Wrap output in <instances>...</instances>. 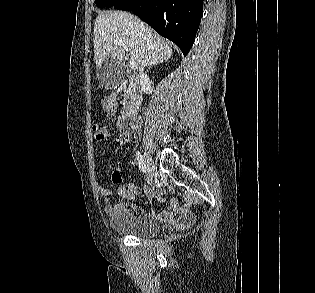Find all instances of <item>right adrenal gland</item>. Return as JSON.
<instances>
[{"instance_id":"2a0ac1e0","label":"right adrenal gland","mask_w":315,"mask_h":293,"mask_svg":"<svg viewBox=\"0 0 315 293\" xmlns=\"http://www.w3.org/2000/svg\"><path fill=\"white\" fill-rule=\"evenodd\" d=\"M152 66H153L152 64L149 65V67H148V69H147V72L149 71V69H150Z\"/></svg>"}]
</instances>
